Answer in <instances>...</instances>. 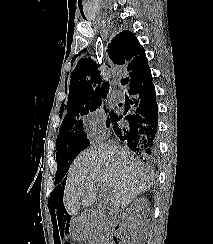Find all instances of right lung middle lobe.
Segmentation results:
<instances>
[{
	"instance_id": "1",
	"label": "right lung middle lobe",
	"mask_w": 213,
	"mask_h": 244,
	"mask_svg": "<svg viewBox=\"0 0 213 244\" xmlns=\"http://www.w3.org/2000/svg\"><path fill=\"white\" fill-rule=\"evenodd\" d=\"M106 98V97H103ZM101 105V98L87 104L73 106L67 109V115L62 121L57 136V173L55 184L59 183L67 172L71 161L75 159L77 154L84 150L89 145V140L83 131V122L81 116L88 113L90 110L95 111ZM108 111V110H107ZM114 112L110 113L111 118L107 119V126H110Z\"/></svg>"
}]
</instances>
